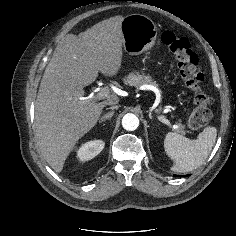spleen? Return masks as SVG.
I'll list each match as a JSON object with an SVG mask.
<instances>
[{"mask_svg":"<svg viewBox=\"0 0 236 236\" xmlns=\"http://www.w3.org/2000/svg\"><path fill=\"white\" fill-rule=\"evenodd\" d=\"M217 136V129L208 126L191 140L183 135L169 132L164 139L166 154L174 161L171 170L174 172H189L198 168L210 154Z\"/></svg>","mask_w":236,"mask_h":236,"instance_id":"1","label":"spleen"}]
</instances>
